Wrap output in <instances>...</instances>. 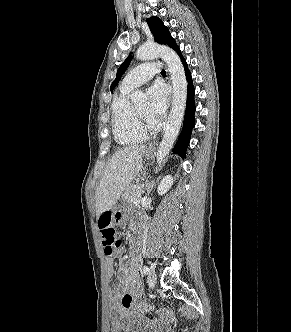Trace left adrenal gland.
I'll list each match as a JSON object with an SVG mask.
<instances>
[{"label":"left adrenal gland","mask_w":291,"mask_h":332,"mask_svg":"<svg viewBox=\"0 0 291 332\" xmlns=\"http://www.w3.org/2000/svg\"><path fill=\"white\" fill-rule=\"evenodd\" d=\"M155 183L152 182H146V191H147V195H149L154 187Z\"/></svg>","instance_id":"obj_1"}]
</instances>
